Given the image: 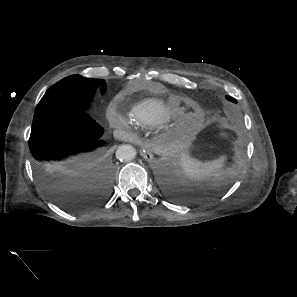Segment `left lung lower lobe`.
<instances>
[{"label": "left lung lower lobe", "instance_id": "1", "mask_svg": "<svg viewBox=\"0 0 297 297\" xmlns=\"http://www.w3.org/2000/svg\"><path fill=\"white\" fill-rule=\"evenodd\" d=\"M167 173H169V172H167ZM166 175L169 177V183H171V185H174V184H172V183H175V182H173L174 179L172 180V178H171L172 174L169 173V174H166ZM219 193H221L220 189H215V190H211V191L209 190V195H216V194H219Z\"/></svg>", "mask_w": 297, "mask_h": 297}]
</instances>
